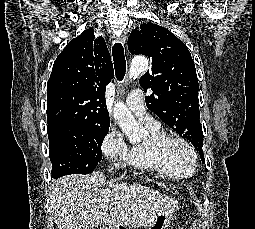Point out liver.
Wrapping results in <instances>:
<instances>
[{"instance_id":"6515ba94","label":"liver","mask_w":255,"mask_h":229,"mask_svg":"<svg viewBox=\"0 0 255 229\" xmlns=\"http://www.w3.org/2000/svg\"><path fill=\"white\" fill-rule=\"evenodd\" d=\"M105 180L103 173L94 172L65 176L52 185L58 229H93L101 224L136 229L175 205L169 196L137 183L112 182L101 190Z\"/></svg>"}]
</instances>
